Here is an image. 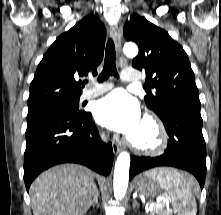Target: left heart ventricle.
Wrapping results in <instances>:
<instances>
[{
    "instance_id": "obj_1",
    "label": "left heart ventricle",
    "mask_w": 221,
    "mask_h": 215,
    "mask_svg": "<svg viewBox=\"0 0 221 215\" xmlns=\"http://www.w3.org/2000/svg\"><path fill=\"white\" fill-rule=\"evenodd\" d=\"M152 137L151 130L145 124L141 123L139 129L133 136V138L140 143H148L150 142Z\"/></svg>"
}]
</instances>
